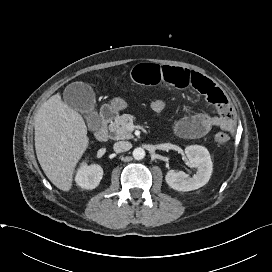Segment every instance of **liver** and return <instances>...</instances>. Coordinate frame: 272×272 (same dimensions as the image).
<instances>
[{"instance_id":"1","label":"liver","mask_w":272,"mask_h":272,"mask_svg":"<svg viewBox=\"0 0 272 272\" xmlns=\"http://www.w3.org/2000/svg\"><path fill=\"white\" fill-rule=\"evenodd\" d=\"M88 145L82 116L59 93L41 105L35 116V149L45 175L57 188L71 189L75 167Z\"/></svg>"}]
</instances>
